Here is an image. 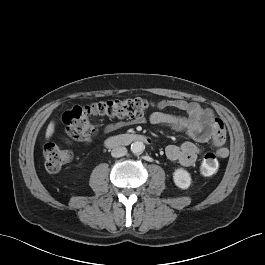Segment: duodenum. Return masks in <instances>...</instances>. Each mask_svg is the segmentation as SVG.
Masks as SVG:
<instances>
[{"label": "duodenum", "mask_w": 265, "mask_h": 265, "mask_svg": "<svg viewBox=\"0 0 265 265\" xmlns=\"http://www.w3.org/2000/svg\"><path fill=\"white\" fill-rule=\"evenodd\" d=\"M145 141H149V139L144 135L137 133H128L107 138L105 141V145L108 148H115L118 146L129 145L135 142Z\"/></svg>", "instance_id": "duodenum-1"}]
</instances>
